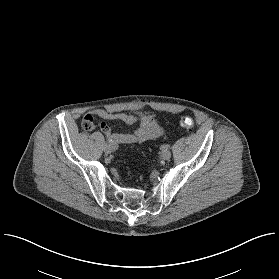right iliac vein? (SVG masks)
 <instances>
[{
	"instance_id": "63e3f726",
	"label": "right iliac vein",
	"mask_w": 279,
	"mask_h": 279,
	"mask_svg": "<svg viewBox=\"0 0 279 279\" xmlns=\"http://www.w3.org/2000/svg\"><path fill=\"white\" fill-rule=\"evenodd\" d=\"M112 150H113V149H112V145H110V144H105V145H104V152H105V153H107V154H108V153H111Z\"/></svg>"
}]
</instances>
